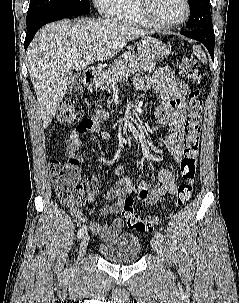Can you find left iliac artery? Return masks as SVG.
<instances>
[{
  "mask_svg": "<svg viewBox=\"0 0 239 303\" xmlns=\"http://www.w3.org/2000/svg\"><path fill=\"white\" fill-rule=\"evenodd\" d=\"M155 237L160 240H163V235L160 232H155Z\"/></svg>",
  "mask_w": 239,
  "mask_h": 303,
  "instance_id": "1",
  "label": "left iliac artery"
}]
</instances>
